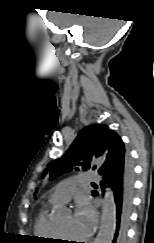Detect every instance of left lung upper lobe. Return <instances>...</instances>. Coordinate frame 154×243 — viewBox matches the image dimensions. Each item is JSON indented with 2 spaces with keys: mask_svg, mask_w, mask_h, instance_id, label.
I'll use <instances>...</instances> for the list:
<instances>
[{
  "mask_svg": "<svg viewBox=\"0 0 154 243\" xmlns=\"http://www.w3.org/2000/svg\"><path fill=\"white\" fill-rule=\"evenodd\" d=\"M125 155L126 149L118 134L109 129L107 125L96 124L83 128L73 144L64 154L63 159H57L48 164L44 175L49 173L51 179L70 171L73 165H79L83 170L90 169V160L94 157H107ZM79 160H83L82 163ZM95 167H93L94 169ZM78 170V168H76ZM96 191H92L94 195Z\"/></svg>",
  "mask_w": 154,
  "mask_h": 243,
  "instance_id": "1",
  "label": "left lung upper lobe"
}]
</instances>
